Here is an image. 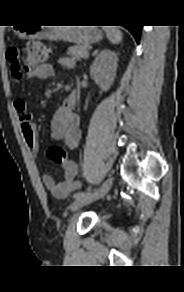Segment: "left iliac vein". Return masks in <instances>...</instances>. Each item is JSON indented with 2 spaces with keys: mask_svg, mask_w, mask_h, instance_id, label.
Instances as JSON below:
<instances>
[{
  "mask_svg": "<svg viewBox=\"0 0 184 292\" xmlns=\"http://www.w3.org/2000/svg\"><path fill=\"white\" fill-rule=\"evenodd\" d=\"M113 185V178L109 177L99 188L92 191L89 195L86 197L76 200L72 206L71 209L73 211L79 210L80 208L84 207L87 204H90L96 200H99L103 198L111 189Z\"/></svg>",
  "mask_w": 184,
  "mask_h": 292,
  "instance_id": "1",
  "label": "left iliac vein"
}]
</instances>
